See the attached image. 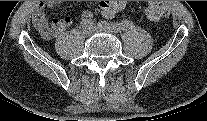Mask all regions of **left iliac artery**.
I'll return each mask as SVG.
<instances>
[{
    "label": "left iliac artery",
    "instance_id": "obj_1",
    "mask_svg": "<svg viewBox=\"0 0 207 121\" xmlns=\"http://www.w3.org/2000/svg\"><path fill=\"white\" fill-rule=\"evenodd\" d=\"M98 26L102 27V28L109 29L112 32H119V31L125 30L126 28L129 27V25H125L122 23L108 22V21H100L98 23Z\"/></svg>",
    "mask_w": 207,
    "mask_h": 121
}]
</instances>
